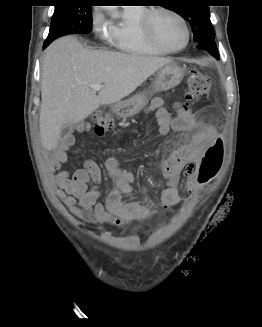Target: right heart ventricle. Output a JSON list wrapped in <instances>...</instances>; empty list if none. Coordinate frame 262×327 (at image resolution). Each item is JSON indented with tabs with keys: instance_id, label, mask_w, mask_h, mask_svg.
Listing matches in <instances>:
<instances>
[{
	"instance_id": "1",
	"label": "right heart ventricle",
	"mask_w": 262,
	"mask_h": 327,
	"mask_svg": "<svg viewBox=\"0 0 262 327\" xmlns=\"http://www.w3.org/2000/svg\"><path fill=\"white\" fill-rule=\"evenodd\" d=\"M144 7H124L115 21L111 22L109 35L112 44L119 50L137 55H164L166 52L155 47L141 28Z\"/></svg>"
}]
</instances>
